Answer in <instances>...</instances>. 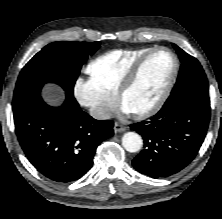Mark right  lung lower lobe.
<instances>
[{"mask_svg":"<svg viewBox=\"0 0 222 219\" xmlns=\"http://www.w3.org/2000/svg\"><path fill=\"white\" fill-rule=\"evenodd\" d=\"M65 92L60 107L38 97L13 108L26 157L41 174L60 183L81 178L92 167L97 146L113 135L111 120H95L79 108L73 91Z\"/></svg>","mask_w":222,"mask_h":219,"instance_id":"obj_1","label":"right lung lower lobe"}]
</instances>
